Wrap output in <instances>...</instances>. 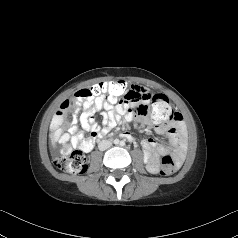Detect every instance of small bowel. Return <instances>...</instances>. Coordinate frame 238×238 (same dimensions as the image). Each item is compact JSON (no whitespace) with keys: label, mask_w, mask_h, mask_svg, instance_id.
<instances>
[{"label":"small bowel","mask_w":238,"mask_h":238,"mask_svg":"<svg viewBox=\"0 0 238 238\" xmlns=\"http://www.w3.org/2000/svg\"><path fill=\"white\" fill-rule=\"evenodd\" d=\"M152 98L145 88L135 85L129 89L120 103L94 99L81 104L72 99L65 100L52 119V137L62 145L61 152L65 154L71 150V146L90 151L94 146L95 139L105 136L117 124H127L135 121L150 126L157 133L169 139V145L160 144L152 138L142 140L141 144L147 168L150 172L157 173L161 156L173 152L178 161L183 158L186 148V129L179 113H176L174 119L169 122H158L150 118L148 114L138 111L136 114L134 113V107L137 109L148 107L147 105ZM70 108H74V115L69 124L68 132H64L60 127L64 122L67 110ZM96 111L102 114V127L95 121L94 113ZM78 122L83 129L90 132L88 140H84L82 134L78 132ZM121 135L129 141L133 140L132 135L127 131L122 132Z\"/></svg>","instance_id":"obj_1"}]
</instances>
